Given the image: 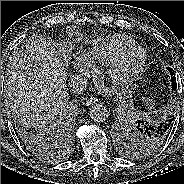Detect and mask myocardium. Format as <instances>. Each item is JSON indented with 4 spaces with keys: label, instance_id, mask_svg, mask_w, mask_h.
I'll return each mask as SVG.
<instances>
[{
    "label": "myocardium",
    "instance_id": "myocardium-1",
    "mask_svg": "<svg viewBox=\"0 0 184 184\" xmlns=\"http://www.w3.org/2000/svg\"><path fill=\"white\" fill-rule=\"evenodd\" d=\"M147 59L146 51L140 46H132L106 65L105 75L115 87L125 88L139 76Z\"/></svg>",
    "mask_w": 184,
    "mask_h": 184
}]
</instances>
